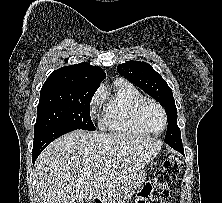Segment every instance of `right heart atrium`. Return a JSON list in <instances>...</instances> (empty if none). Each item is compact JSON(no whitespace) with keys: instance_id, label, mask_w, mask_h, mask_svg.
<instances>
[{"instance_id":"obj_1","label":"right heart atrium","mask_w":222,"mask_h":203,"mask_svg":"<svg viewBox=\"0 0 222 203\" xmlns=\"http://www.w3.org/2000/svg\"><path fill=\"white\" fill-rule=\"evenodd\" d=\"M104 99V92L103 90H99L96 92V94L93 96L91 101V112L94 113L96 111L97 106L100 104V102Z\"/></svg>"}]
</instances>
